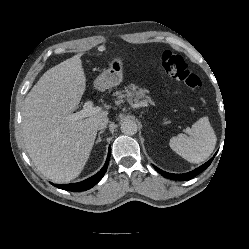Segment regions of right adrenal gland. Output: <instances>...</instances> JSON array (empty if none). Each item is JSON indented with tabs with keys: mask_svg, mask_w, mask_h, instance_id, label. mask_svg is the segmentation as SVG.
Wrapping results in <instances>:
<instances>
[{
	"mask_svg": "<svg viewBox=\"0 0 249 249\" xmlns=\"http://www.w3.org/2000/svg\"><path fill=\"white\" fill-rule=\"evenodd\" d=\"M104 133V130H101L99 133H98V138L96 140V144L97 143H100L102 140H101V134Z\"/></svg>",
	"mask_w": 249,
	"mask_h": 249,
	"instance_id": "right-adrenal-gland-1",
	"label": "right adrenal gland"
}]
</instances>
